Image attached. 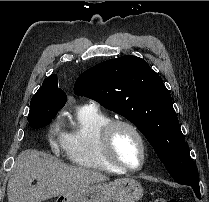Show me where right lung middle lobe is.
Segmentation results:
<instances>
[{"label":"right lung middle lobe","instance_id":"obj_1","mask_svg":"<svg viewBox=\"0 0 209 202\" xmlns=\"http://www.w3.org/2000/svg\"><path fill=\"white\" fill-rule=\"evenodd\" d=\"M54 97L51 91H37L32 97L28 122L32 128L38 129L48 125L62 107L50 104Z\"/></svg>","mask_w":209,"mask_h":202}]
</instances>
